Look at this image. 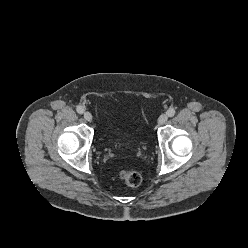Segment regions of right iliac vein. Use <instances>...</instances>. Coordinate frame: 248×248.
<instances>
[{
  "label": "right iliac vein",
  "instance_id": "1",
  "mask_svg": "<svg viewBox=\"0 0 248 248\" xmlns=\"http://www.w3.org/2000/svg\"><path fill=\"white\" fill-rule=\"evenodd\" d=\"M84 119H85L86 121H88V122H91L92 119H93V116H92V114H91L89 111H86V112L84 113Z\"/></svg>",
  "mask_w": 248,
  "mask_h": 248
}]
</instances>
